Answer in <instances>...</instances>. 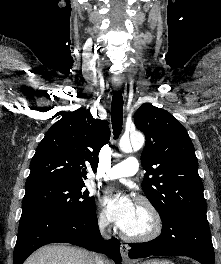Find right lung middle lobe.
<instances>
[{
  "mask_svg": "<svg viewBox=\"0 0 221 264\" xmlns=\"http://www.w3.org/2000/svg\"><path fill=\"white\" fill-rule=\"evenodd\" d=\"M85 184L49 183L26 189L22 214L39 212L81 215L95 209V198L89 197Z\"/></svg>",
  "mask_w": 221,
  "mask_h": 264,
  "instance_id": "dd1d6c3e",
  "label": "right lung middle lobe"
}]
</instances>
